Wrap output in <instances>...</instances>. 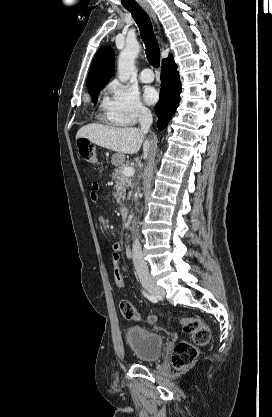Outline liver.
Segmentation results:
<instances>
[{
  "mask_svg": "<svg viewBox=\"0 0 272 417\" xmlns=\"http://www.w3.org/2000/svg\"><path fill=\"white\" fill-rule=\"evenodd\" d=\"M146 132L135 127H111L101 124H88L81 127L76 139L86 138L106 149L119 153L135 154L144 141ZM151 141L143 144V158L147 159Z\"/></svg>",
  "mask_w": 272,
  "mask_h": 417,
  "instance_id": "obj_1",
  "label": "liver"
}]
</instances>
